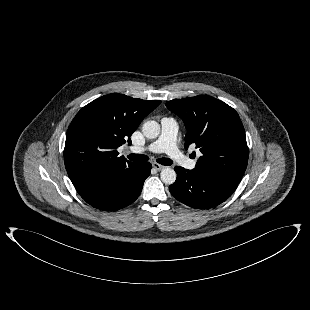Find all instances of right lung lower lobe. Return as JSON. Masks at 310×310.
Returning <instances> with one entry per match:
<instances>
[{
  "instance_id": "right-lung-lower-lobe-1",
  "label": "right lung lower lobe",
  "mask_w": 310,
  "mask_h": 310,
  "mask_svg": "<svg viewBox=\"0 0 310 310\" xmlns=\"http://www.w3.org/2000/svg\"><path fill=\"white\" fill-rule=\"evenodd\" d=\"M150 170L149 162L135 163L124 170L112 171L75 188L91 206L104 211H115L138 198Z\"/></svg>"
}]
</instances>
